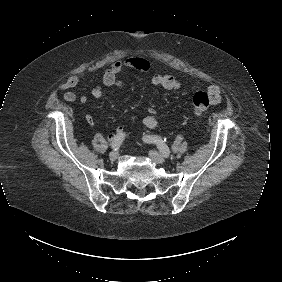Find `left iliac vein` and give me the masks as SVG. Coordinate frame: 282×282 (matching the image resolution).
<instances>
[{
  "mask_svg": "<svg viewBox=\"0 0 282 282\" xmlns=\"http://www.w3.org/2000/svg\"><path fill=\"white\" fill-rule=\"evenodd\" d=\"M149 157L156 163L158 164H163L164 163V157L158 153L157 151L151 150L149 151Z\"/></svg>",
  "mask_w": 282,
  "mask_h": 282,
  "instance_id": "obj_1",
  "label": "left iliac vein"
}]
</instances>
